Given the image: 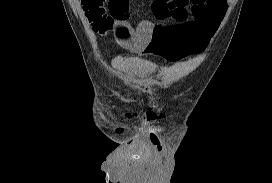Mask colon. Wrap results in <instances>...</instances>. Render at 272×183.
I'll list each match as a JSON object with an SVG mask.
<instances>
[{
    "instance_id": "1",
    "label": "colon",
    "mask_w": 272,
    "mask_h": 183,
    "mask_svg": "<svg viewBox=\"0 0 272 183\" xmlns=\"http://www.w3.org/2000/svg\"><path fill=\"white\" fill-rule=\"evenodd\" d=\"M81 0L86 17L99 33L115 31L119 24L124 21L127 13L128 0Z\"/></svg>"
}]
</instances>
